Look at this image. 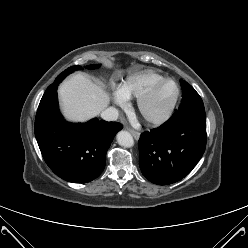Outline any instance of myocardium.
<instances>
[{
	"instance_id": "obj_1",
	"label": "myocardium",
	"mask_w": 248,
	"mask_h": 248,
	"mask_svg": "<svg viewBox=\"0 0 248 248\" xmlns=\"http://www.w3.org/2000/svg\"><path fill=\"white\" fill-rule=\"evenodd\" d=\"M167 84H171L175 87V96H174L171 104L162 114L155 116V117H145L143 115V113L145 111L146 104L148 103V101L151 99V97L155 94V92L160 87L167 85ZM179 99H180V87H179V85L172 79H163L160 82L151 86L144 94H142L140 97H138L137 108H138V111L142 114V116L144 117L145 121L148 124L160 125V124L165 123L166 121H168L172 117V115L174 114L175 109L177 107V104L179 102Z\"/></svg>"
}]
</instances>
